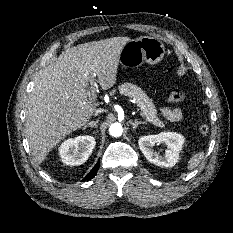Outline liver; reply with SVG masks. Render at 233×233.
<instances>
[{
	"mask_svg": "<svg viewBox=\"0 0 233 233\" xmlns=\"http://www.w3.org/2000/svg\"><path fill=\"white\" fill-rule=\"evenodd\" d=\"M131 39L113 37L66 49L34 82L25 132L34 160L41 163L68 134L89 121L98 101L89 98V76L107 90L116 83L121 51Z\"/></svg>",
	"mask_w": 233,
	"mask_h": 233,
	"instance_id": "6515ba94",
	"label": "liver"
}]
</instances>
